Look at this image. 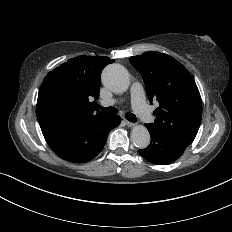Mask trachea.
Wrapping results in <instances>:
<instances>
[{
  "instance_id": "3493384b",
  "label": "trachea",
  "mask_w": 232,
  "mask_h": 232,
  "mask_svg": "<svg viewBox=\"0 0 232 232\" xmlns=\"http://www.w3.org/2000/svg\"><path fill=\"white\" fill-rule=\"evenodd\" d=\"M98 108L101 111H103L104 113H106V114L113 115V114H116L118 112L117 108H115V107H102V106L99 105ZM125 118L127 120H129L130 122H136L137 121L136 116L134 114H132L131 112H127L125 114Z\"/></svg>"
}]
</instances>
